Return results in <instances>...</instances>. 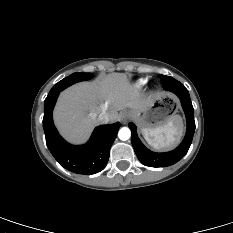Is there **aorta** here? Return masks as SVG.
I'll return each instance as SVG.
<instances>
[{
    "mask_svg": "<svg viewBox=\"0 0 233 233\" xmlns=\"http://www.w3.org/2000/svg\"><path fill=\"white\" fill-rule=\"evenodd\" d=\"M118 137L122 141H126L131 137V131L128 127H122L118 132Z\"/></svg>",
    "mask_w": 233,
    "mask_h": 233,
    "instance_id": "1",
    "label": "aorta"
}]
</instances>
